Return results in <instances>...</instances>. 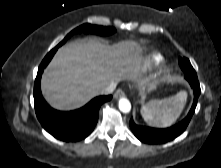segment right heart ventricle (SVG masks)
Instances as JSON below:
<instances>
[{"instance_id":"right-heart-ventricle-1","label":"right heart ventricle","mask_w":221,"mask_h":168,"mask_svg":"<svg viewBox=\"0 0 221 168\" xmlns=\"http://www.w3.org/2000/svg\"><path fill=\"white\" fill-rule=\"evenodd\" d=\"M163 57L159 54H153L148 58V63L152 66H159L163 62Z\"/></svg>"}]
</instances>
